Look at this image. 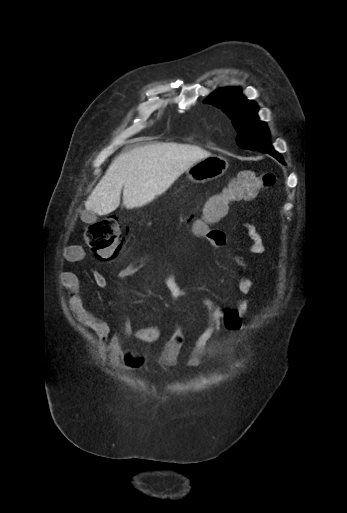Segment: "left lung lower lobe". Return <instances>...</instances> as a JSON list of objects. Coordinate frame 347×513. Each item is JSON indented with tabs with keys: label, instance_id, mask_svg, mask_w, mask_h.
Instances as JSON below:
<instances>
[{
	"label": "left lung lower lobe",
	"instance_id": "0a47b994",
	"mask_svg": "<svg viewBox=\"0 0 347 513\" xmlns=\"http://www.w3.org/2000/svg\"><path fill=\"white\" fill-rule=\"evenodd\" d=\"M270 155H272L273 157H275L279 162L285 164L284 160L282 159V157L280 156V154H278L276 151L275 152H272Z\"/></svg>",
	"mask_w": 347,
	"mask_h": 513
}]
</instances>
